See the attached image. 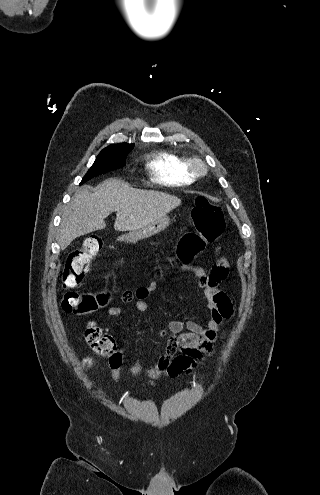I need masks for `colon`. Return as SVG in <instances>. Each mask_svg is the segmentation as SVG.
<instances>
[{
    "label": "colon",
    "mask_w": 320,
    "mask_h": 495,
    "mask_svg": "<svg viewBox=\"0 0 320 495\" xmlns=\"http://www.w3.org/2000/svg\"><path fill=\"white\" fill-rule=\"evenodd\" d=\"M194 230L184 232L177 245L174 262L188 265L202 255L208 245L219 239L225 230L221 207L206 197H198L192 209ZM103 239L98 234L89 235L82 245L68 257L62 274V284L68 291L63 295L61 307L66 312L90 314L108 301L107 294H89L74 291L90 271L93 259L101 252ZM84 337L91 351L101 357H110V363H117L114 338L102 331L96 324L87 326ZM87 358L85 363L91 364Z\"/></svg>",
    "instance_id": "obj_1"
}]
</instances>
